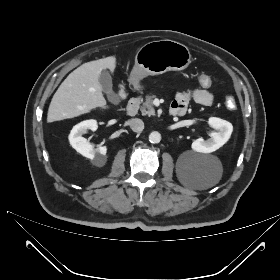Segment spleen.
<instances>
[{"label": "spleen", "mask_w": 280, "mask_h": 280, "mask_svg": "<svg viewBox=\"0 0 280 280\" xmlns=\"http://www.w3.org/2000/svg\"><path fill=\"white\" fill-rule=\"evenodd\" d=\"M217 182H218V180L211 181V182L207 183L206 187H211V186L215 185Z\"/></svg>", "instance_id": "1"}]
</instances>
